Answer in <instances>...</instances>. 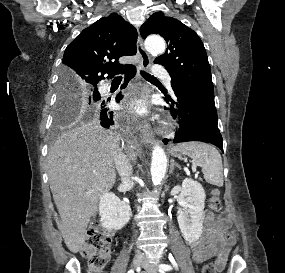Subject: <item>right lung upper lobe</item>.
Here are the masks:
<instances>
[{"label":"right lung upper lobe","mask_w":285,"mask_h":273,"mask_svg":"<svg viewBox=\"0 0 285 273\" xmlns=\"http://www.w3.org/2000/svg\"><path fill=\"white\" fill-rule=\"evenodd\" d=\"M136 39V29L121 16L113 13L103 17L67 46L62 73L80 84L97 86L104 74L112 78L132 66L119 64L118 59L136 54Z\"/></svg>","instance_id":"cb5924a9"}]
</instances>
